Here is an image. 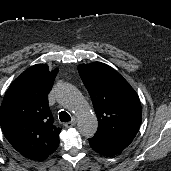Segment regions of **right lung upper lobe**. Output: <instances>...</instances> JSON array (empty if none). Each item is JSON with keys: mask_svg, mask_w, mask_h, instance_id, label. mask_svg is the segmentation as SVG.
I'll return each instance as SVG.
<instances>
[{"mask_svg": "<svg viewBox=\"0 0 171 171\" xmlns=\"http://www.w3.org/2000/svg\"><path fill=\"white\" fill-rule=\"evenodd\" d=\"M58 70L37 64L18 76L6 91L0 123L14 149L32 160H44L59 145L60 128L53 125L46 95Z\"/></svg>", "mask_w": 171, "mask_h": 171, "instance_id": "obj_1", "label": "right lung upper lobe"}]
</instances>
